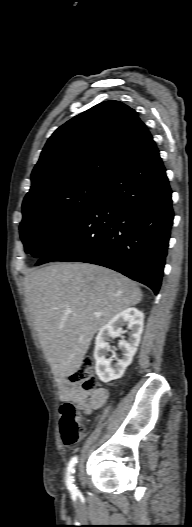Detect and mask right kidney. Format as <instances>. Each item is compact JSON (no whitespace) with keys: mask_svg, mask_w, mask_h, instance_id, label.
I'll use <instances>...</instances> for the list:
<instances>
[{"mask_svg":"<svg viewBox=\"0 0 192 527\" xmlns=\"http://www.w3.org/2000/svg\"><path fill=\"white\" fill-rule=\"evenodd\" d=\"M144 314L136 308H128L114 316L98 332L95 340V370L99 379L110 382L122 377L126 368L131 364L133 357L140 343L143 331ZM127 325L130 330L128 340H120L119 348L122 350V358L115 359L112 365V358H106V353L111 351L109 341L124 333L122 326Z\"/></svg>","mask_w":192,"mask_h":527,"instance_id":"ca27d5eb","label":"right kidney"}]
</instances>
